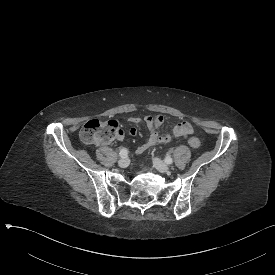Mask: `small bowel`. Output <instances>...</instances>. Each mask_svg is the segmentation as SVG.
<instances>
[{
    "instance_id": "obj_1",
    "label": "small bowel",
    "mask_w": 275,
    "mask_h": 275,
    "mask_svg": "<svg viewBox=\"0 0 275 275\" xmlns=\"http://www.w3.org/2000/svg\"><path fill=\"white\" fill-rule=\"evenodd\" d=\"M128 120L132 124H138L141 122V117L136 115L130 116ZM148 120L154 126H149V131H150L149 137L144 143H142L136 148L137 154H142L153 146L160 145V144H167L171 141V139L186 138L193 131L192 125L188 121H182L174 126L171 133L160 134L158 132V126L162 123V118L159 115H154L153 118H148ZM136 133L137 131L135 128L130 129L131 135H135ZM117 139L118 140L125 139V134L123 129L117 130Z\"/></svg>"
}]
</instances>
